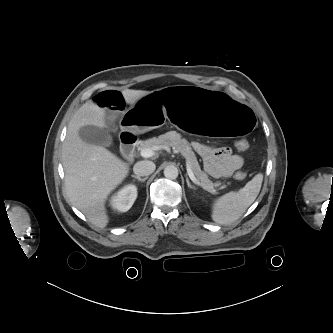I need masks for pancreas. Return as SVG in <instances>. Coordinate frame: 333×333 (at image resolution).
I'll use <instances>...</instances> for the list:
<instances>
[{"label": "pancreas", "mask_w": 333, "mask_h": 333, "mask_svg": "<svg viewBox=\"0 0 333 333\" xmlns=\"http://www.w3.org/2000/svg\"><path fill=\"white\" fill-rule=\"evenodd\" d=\"M166 146L173 147L186 158L187 163L190 165L196 178L201 182L203 186L206 187L205 188L206 190L214 194L217 193L216 190L214 189V186H220L221 183L213 184L209 180L208 175L201 170L196 155L193 152L189 142L186 139L181 138V135L176 131H169L165 134L158 136V138L154 137L144 141L141 144V149L143 148L161 149ZM224 188H226V185H222L220 187V189Z\"/></svg>", "instance_id": "obj_1"}]
</instances>
